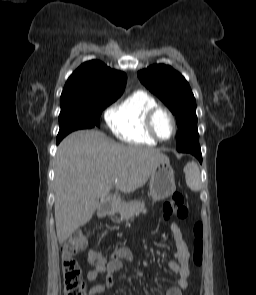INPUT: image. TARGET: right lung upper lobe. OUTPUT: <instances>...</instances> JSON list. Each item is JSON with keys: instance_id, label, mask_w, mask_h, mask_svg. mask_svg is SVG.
Segmentation results:
<instances>
[{"instance_id": "right-lung-upper-lobe-1", "label": "right lung upper lobe", "mask_w": 256, "mask_h": 295, "mask_svg": "<svg viewBox=\"0 0 256 295\" xmlns=\"http://www.w3.org/2000/svg\"><path fill=\"white\" fill-rule=\"evenodd\" d=\"M125 73L110 69L98 60L83 63L68 78L60 105H74L91 100L120 96L126 85Z\"/></svg>"}]
</instances>
